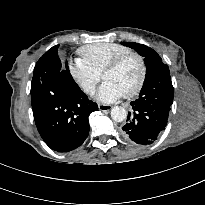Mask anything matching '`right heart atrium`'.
Returning <instances> with one entry per match:
<instances>
[{
	"instance_id": "obj_1",
	"label": "right heart atrium",
	"mask_w": 205,
	"mask_h": 205,
	"mask_svg": "<svg viewBox=\"0 0 205 205\" xmlns=\"http://www.w3.org/2000/svg\"><path fill=\"white\" fill-rule=\"evenodd\" d=\"M69 74L72 80L87 95L94 93L101 78L100 74L81 58H76L70 62Z\"/></svg>"
}]
</instances>
